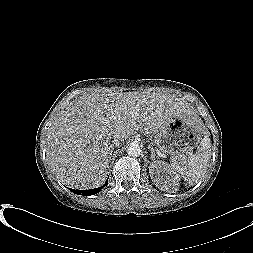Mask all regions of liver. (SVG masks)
I'll list each match as a JSON object with an SVG mask.
<instances>
[{"label":"liver","instance_id":"6515ba94","mask_svg":"<svg viewBox=\"0 0 253 253\" xmlns=\"http://www.w3.org/2000/svg\"><path fill=\"white\" fill-rule=\"evenodd\" d=\"M183 115L195 116L202 123L192 107L175 94L112 90L85 93L54 119L47 137L48 164L69 187H98L106 178L114 137H119L122 144L136 131L157 134Z\"/></svg>","mask_w":253,"mask_h":253}]
</instances>
